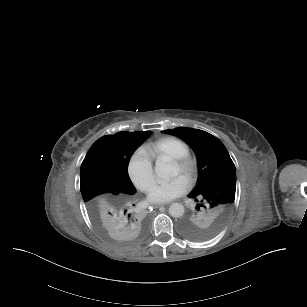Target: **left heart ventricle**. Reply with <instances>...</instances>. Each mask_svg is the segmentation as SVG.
<instances>
[{
	"mask_svg": "<svg viewBox=\"0 0 307 307\" xmlns=\"http://www.w3.org/2000/svg\"><path fill=\"white\" fill-rule=\"evenodd\" d=\"M174 173L178 174L179 173V168L178 166L174 163Z\"/></svg>",
	"mask_w": 307,
	"mask_h": 307,
	"instance_id": "obj_1",
	"label": "left heart ventricle"
}]
</instances>
